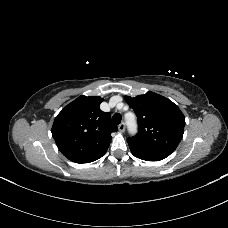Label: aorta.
Instances as JSON below:
<instances>
[{
  "instance_id": "aorta-1",
  "label": "aorta",
  "mask_w": 228,
  "mask_h": 228,
  "mask_svg": "<svg viewBox=\"0 0 228 228\" xmlns=\"http://www.w3.org/2000/svg\"><path fill=\"white\" fill-rule=\"evenodd\" d=\"M127 127H128V131L130 132V134H135L137 131V124L135 121V118L133 116L132 119H127Z\"/></svg>"
}]
</instances>
